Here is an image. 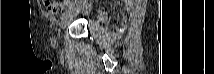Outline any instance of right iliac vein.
Here are the masks:
<instances>
[{
	"label": "right iliac vein",
	"mask_w": 214,
	"mask_h": 74,
	"mask_svg": "<svg viewBox=\"0 0 214 74\" xmlns=\"http://www.w3.org/2000/svg\"><path fill=\"white\" fill-rule=\"evenodd\" d=\"M80 11V6L70 10L67 14H65V16H63V18H61L60 21V29L63 30L65 28V26L67 25L68 19L72 16V15H76L78 14Z\"/></svg>",
	"instance_id": "1"
}]
</instances>
